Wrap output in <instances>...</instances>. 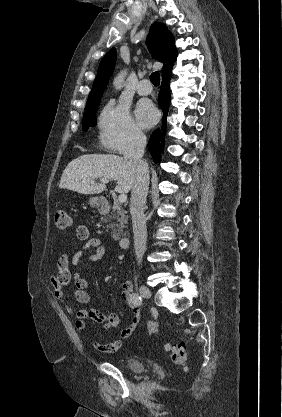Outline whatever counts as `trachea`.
<instances>
[{"mask_svg":"<svg viewBox=\"0 0 282 417\" xmlns=\"http://www.w3.org/2000/svg\"><path fill=\"white\" fill-rule=\"evenodd\" d=\"M149 78L156 87L160 84V74L158 71L151 73Z\"/></svg>","mask_w":282,"mask_h":417,"instance_id":"1","label":"trachea"}]
</instances>
